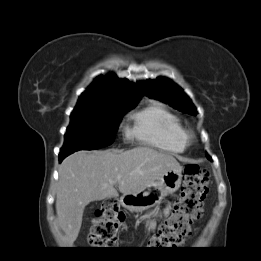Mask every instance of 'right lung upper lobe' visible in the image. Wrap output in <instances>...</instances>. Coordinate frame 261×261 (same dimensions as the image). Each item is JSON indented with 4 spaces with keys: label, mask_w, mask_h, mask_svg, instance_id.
<instances>
[{
    "label": "right lung upper lobe",
    "mask_w": 261,
    "mask_h": 261,
    "mask_svg": "<svg viewBox=\"0 0 261 261\" xmlns=\"http://www.w3.org/2000/svg\"><path fill=\"white\" fill-rule=\"evenodd\" d=\"M143 92L138 83L121 80L115 75L99 76L92 85L82 93L79 100L89 98H118L140 100Z\"/></svg>",
    "instance_id": "obj_1"
}]
</instances>
